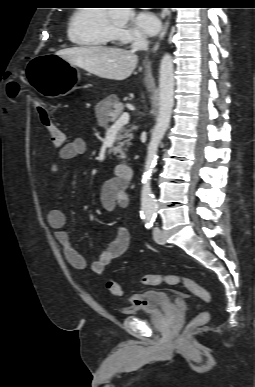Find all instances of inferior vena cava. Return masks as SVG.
I'll return each mask as SVG.
<instances>
[{"label": "inferior vena cava", "mask_w": 255, "mask_h": 387, "mask_svg": "<svg viewBox=\"0 0 255 387\" xmlns=\"http://www.w3.org/2000/svg\"><path fill=\"white\" fill-rule=\"evenodd\" d=\"M131 47H132L133 51H136V50H139V49L146 51V50H148V41H147L146 38L138 36L134 40V42H133Z\"/></svg>", "instance_id": "obj_1"}]
</instances>
